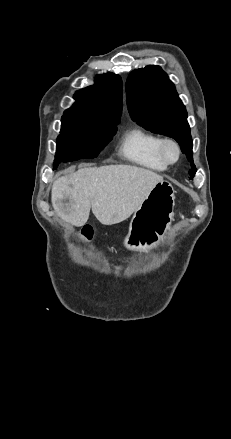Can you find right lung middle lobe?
<instances>
[{"label":"right lung middle lobe","instance_id":"right-lung-middle-lobe-1","mask_svg":"<svg viewBox=\"0 0 231 439\" xmlns=\"http://www.w3.org/2000/svg\"><path fill=\"white\" fill-rule=\"evenodd\" d=\"M61 122L54 169L61 163L97 157L117 131L115 125L85 118H62Z\"/></svg>","mask_w":231,"mask_h":439}]
</instances>
